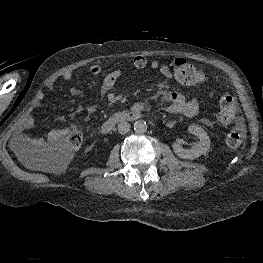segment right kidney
<instances>
[{
    "label": "right kidney",
    "mask_w": 263,
    "mask_h": 263,
    "mask_svg": "<svg viewBox=\"0 0 263 263\" xmlns=\"http://www.w3.org/2000/svg\"><path fill=\"white\" fill-rule=\"evenodd\" d=\"M90 150V148L89 147H87L86 149H85V152H88Z\"/></svg>",
    "instance_id": "obj_1"
}]
</instances>
